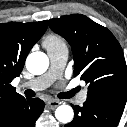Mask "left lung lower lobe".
Wrapping results in <instances>:
<instances>
[{
    "label": "left lung lower lobe",
    "instance_id": "obj_1",
    "mask_svg": "<svg viewBox=\"0 0 127 127\" xmlns=\"http://www.w3.org/2000/svg\"><path fill=\"white\" fill-rule=\"evenodd\" d=\"M75 117L65 127H117L123 110L121 108L85 101L83 107L73 106Z\"/></svg>",
    "mask_w": 127,
    "mask_h": 127
}]
</instances>
